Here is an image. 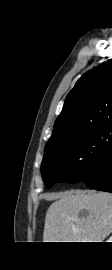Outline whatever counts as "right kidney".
Instances as JSON below:
<instances>
[{
	"label": "right kidney",
	"mask_w": 112,
	"mask_h": 270,
	"mask_svg": "<svg viewBox=\"0 0 112 270\" xmlns=\"http://www.w3.org/2000/svg\"><path fill=\"white\" fill-rule=\"evenodd\" d=\"M107 242H112V236L107 240Z\"/></svg>",
	"instance_id": "right-kidney-1"
}]
</instances>
